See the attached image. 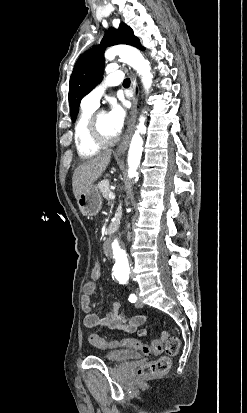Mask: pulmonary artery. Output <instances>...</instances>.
I'll list each match as a JSON object with an SVG mask.
<instances>
[{
  "instance_id": "e3ab8cb5",
  "label": "pulmonary artery",
  "mask_w": 247,
  "mask_h": 413,
  "mask_svg": "<svg viewBox=\"0 0 247 413\" xmlns=\"http://www.w3.org/2000/svg\"><path fill=\"white\" fill-rule=\"evenodd\" d=\"M123 70L105 75L86 95L83 97V103L89 108H96L99 100L110 86L119 84L122 79Z\"/></svg>"
}]
</instances>
